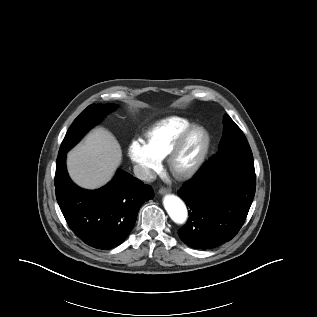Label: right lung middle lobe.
<instances>
[{
    "label": "right lung middle lobe",
    "mask_w": 317,
    "mask_h": 317,
    "mask_svg": "<svg viewBox=\"0 0 317 317\" xmlns=\"http://www.w3.org/2000/svg\"><path fill=\"white\" fill-rule=\"evenodd\" d=\"M114 104H92L89 105L70 126L65 138L60 146L59 153L67 152L73 147L83 135L94 125H96L104 115L115 109ZM58 153V154H59Z\"/></svg>",
    "instance_id": "obj_1"
}]
</instances>
